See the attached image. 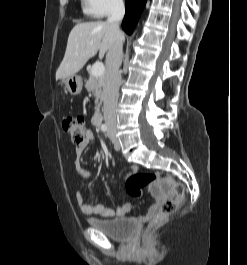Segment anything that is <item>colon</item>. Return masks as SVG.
I'll use <instances>...</instances> for the list:
<instances>
[{
    "mask_svg": "<svg viewBox=\"0 0 247 265\" xmlns=\"http://www.w3.org/2000/svg\"><path fill=\"white\" fill-rule=\"evenodd\" d=\"M62 127L77 146L85 141L87 128L83 117L65 115L62 119ZM125 186L127 193L135 198L142 196L145 187H149L152 193L159 191H171L173 193V197L164 200L160 205L158 213L151 218L149 223L151 228L160 226L168 216L176 211L184 198L185 192L184 186L180 182L168 176L151 172L132 174L127 178Z\"/></svg>",
    "mask_w": 247,
    "mask_h": 265,
    "instance_id": "colon-1",
    "label": "colon"
}]
</instances>
